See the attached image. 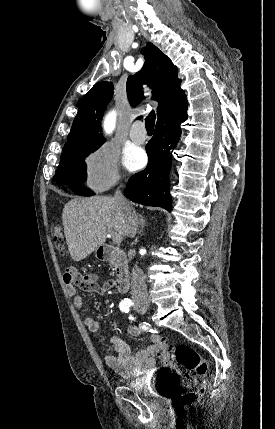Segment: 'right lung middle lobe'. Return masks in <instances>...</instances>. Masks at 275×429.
Here are the masks:
<instances>
[{
    "mask_svg": "<svg viewBox=\"0 0 275 429\" xmlns=\"http://www.w3.org/2000/svg\"><path fill=\"white\" fill-rule=\"evenodd\" d=\"M94 151L95 150L88 151L81 155L61 158L54 180L61 183L66 182L78 195H94L92 191L81 186L87 178L86 163L84 162L85 157Z\"/></svg>",
    "mask_w": 275,
    "mask_h": 429,
    "instance_id": "obj_1",
    "label": "right lung middle lobe"
}]
</instances>
